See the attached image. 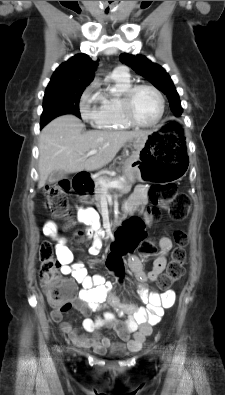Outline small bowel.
<instances>
[{"mask_svg":"<svg viewBox=\"0 0 225 395\" xmlns=\"http://www.w3.org/2000/svg\"><path fill=\"white\" fill-rule=\"evenodd\" d=\"M147 203V186L140 184L125 204V210L134 214ZM78 220L88 226L89 235H93L92 245L89 249L91 255H98L102 248V236L99 232V215L91 208H80L77 212ZM43 234L56 241V254L60 263V271L70 275L81 285L79 294L69 304L88 315L96 311L99 306L107 302L113 311H107L102 316L86 318L83 328L86 333H79L71 322L62 320L64 311L54 309L51 313L55 322H61V329L68 334L73 344L83 348H93L98 353H103L107 348L125 346L130 350H139L151 333V327L157 324L165 309L171 308L175 303V293L171 290L162 293L149 291L147 285L157 280L167 264V255L172 249L170 238L163 236L159 240V253L153 261L152 269H144L142 261L137 256L128 258V266L132 271L138 286L140 299L145 307L123 303L113 292V283L106 280L103 275H88L83 264L74 262L73 254L66 245V239L60 234L55 222L48 220L42 228ZM116 313L126 316L124 321L116 317ZM110 327L115 330L121 343H116L100 331ZM132 335V338H131Z\"/></svg>","mask_w":225,"mask_h":395,"instance_id":"c3829d8e","label":"small bowel"}]
</instances>
